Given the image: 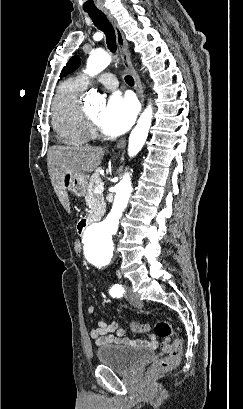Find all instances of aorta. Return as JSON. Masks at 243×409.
<instances>
[{
	"mask_svg": "<svg viewBox=\"0 0 243 409\" xmlns=\"http://www.w3.org/2000/svg\"><path fill=\"white\" fill-rule=\"evenodd\" d=\"M110 62L111 57L105 51L97 50L87 60L86 73L95 76L103 71ZM87 98L94 105L102 101V97L94 89L89 91ZM152 117V107L148 105L130 134L128 144V155L130 157L136 156L145 144ZM131 193V178L127 173L116 186L114 202L107 217L102 222L90 224L84 231L83 244L87 256L92 254H97L103 258L112 256L114 250L112 236L118 229L119 219L127 207Z\"/></svg>",
	"mask_w": 243,
	"mask_h": 409,
	"instance_id": "aorta-1",
	"label": "aorta"
}]
</instances>
